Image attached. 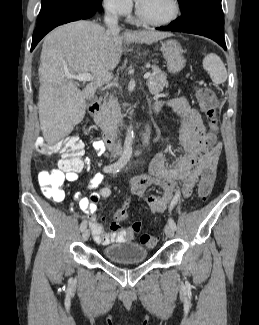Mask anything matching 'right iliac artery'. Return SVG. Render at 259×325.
<instances>
[{
    "mask_svg": "<svg viewBox=\"0 0 259 325\" xmlns=\"http://www.w3.org/2000/svg\"><path fill=\"white\" fill-rule=\"evenodd\" d=\"M131 154H132V147H127L123 152L122 156L120 157V159L114 164L105 166L103 168V171L106 173H110L111 170H114L115 165H122L124 167L130 160ZM86 227H87V222L84 220L80 225V230L83 231Z\"/></svg>",
    "mask_w": 259,
    "mask_h": 325,
    "instance_id": "82829eb1",
    "label": "right iliac artery"
}]
</instances>
